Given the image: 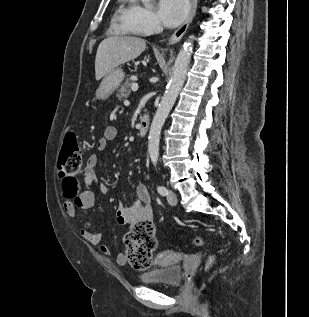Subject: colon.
<instances>
[{"instance_id": "obj_1", "label": "colon", "mask_w": 309, "mask_h": 317, "mask_svg": "<svg viewBox=\"0 0 309 317\" xmlns=\"http://www.w3.org/2000/svg\"><path fill=\"white\" fill-rule=\"evenodd\" d=\"M82 163L81 152L74 132L66 133L58 159L59 177L63 184L75 179ZM196 247H200L203 241L200 237L193 240ZM125 245L127 248L131 266L136 270H146L153 264V253L156 249V238L152 222L137 221L132 224L130 230L125 235ZM166 253H162L156 259L160 262ZM215 256L208 257L206 268L213 265Z\"/></svg>"}]
</instances>
